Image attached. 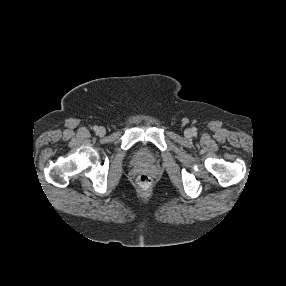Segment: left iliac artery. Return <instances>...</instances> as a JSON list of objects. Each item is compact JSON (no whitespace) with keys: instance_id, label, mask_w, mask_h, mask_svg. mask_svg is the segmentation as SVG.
<instances>
[{"instance_id":"obj_1","label":"left iliac artery","mask_w":286,"mask_h":286,"mask_svg":"<svg viewBox=\"0 0 286 286\" xmlns=\"http://www.w3.org/2000/svg\"><path fill=\"white\" fill-rule=\"evenodd\" d=\"M193 133L196 134V129L195 128H193Z\"/></svg>"}]
</instances>
